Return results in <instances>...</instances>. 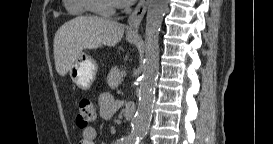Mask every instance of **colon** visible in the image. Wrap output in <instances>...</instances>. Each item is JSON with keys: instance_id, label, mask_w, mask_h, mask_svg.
<instances>
[{"instance_id": "1", "label": "colon", "mask_w": 273, "mask_h": 144, "mask_svg": "<svg viewBox=\"0 0 273 144\" xmlns=\"http://www.w3.org/2000/svg\"><path fill=\"white\" fill-rule=\"evenodd\" d=\"M98 110L96 104L84 98L79 102L76 123L80 128H87L97 118Z\"/></svg>"}]
</instances>
